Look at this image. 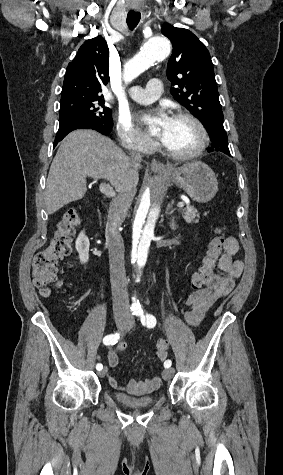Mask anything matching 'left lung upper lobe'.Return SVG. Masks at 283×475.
<instances>
[{"label":"left lung upper lobe","mask_w":283,"mask_h":475,"mask_svg":"<svg viewBox=\"0 0 283 475\" xmlns=\"http://www.w3.org/2000/svg\"><path fill=\"white\" fill-rule=\"evenodd\" d=\"M173 45L167 77L172 96L204 125L223 126V112L218 99L213 64L207 48L189 30L165 24L161 30Z\"/></svg>","instance_id":"left-lung-upper-lobe-1"}]
</instances>
